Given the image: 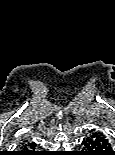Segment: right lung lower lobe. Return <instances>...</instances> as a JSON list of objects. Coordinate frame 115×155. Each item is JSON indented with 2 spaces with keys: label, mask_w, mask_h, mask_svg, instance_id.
<instances>
[{
  "label": "right lung lower lobe",
  "mask_w": 115,
  "mask_h": 155,
  "mask_svg": "<svg viewBox=\"0 0 115 155\" xmlns=\"http://www.w3.org/2000/svg\"><path fill=\"white\" fill-rule=\"evenodd\" d=\"M29 153H27L28 155H40L38 152H32L33 151V149H35V147H36V144H34V143H31L29 146ZM32 149V150H31Z\"/></svg>",
  "instance_id": "obj_1"
}]
</instances>
